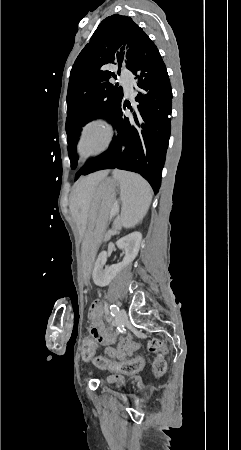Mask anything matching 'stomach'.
<instances>
[{
  "label": "stomach",
  "instance_id": "obj_1",
  "mask_svg": "<svg viewBox=\"0 0 241 450\" xmlns=\"http://www.w3.org/2000/svg\"><path fill=\"white\" fill-rule=\"evenodd\" d=\"M118 182L112 178L100 181L94 193L87 230L81 247L82 279L87 283L90 278L93 262L103 239L110 208L115 201Z\"/></svg>",
  "mask_w": 241,
  "mask_h": 450
}]
</instances>
